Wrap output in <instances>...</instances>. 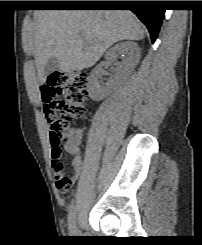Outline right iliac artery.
I'll use <instances>...</instances> for the list:
<instances>
[{"instance_id": "82829eb1", "label": "right iliac artery", "mask_w": 202, "mask_h": 245, "mask_svg": "<svg viewBox=\"0 0 202 245\" xmlns=\"http://www.w3.org/2000/svg\"><path fill=\"white\" fill-rule=\"evenodd\" d=\"M76 214H77V206L75 204H72L68 216V227L70 230H73L75 226Z\"/></svg>"}]
</instances>
